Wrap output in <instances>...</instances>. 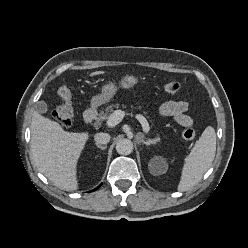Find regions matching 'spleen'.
Wrapping results in <instances>:
<instances>
[{
  "mask_svg": "<svg viewBox=\"0 0 248 248\" xmlns=\"http://www.w3.org/2000/svg\"><path fill=\"white\" fill-rule=\"evenodd\" d=\"M216 152V133L208 126L185 158L178 191L184 192L195 186L210 168Z\"/></svg>",
  "mask_w": 248,
  "mask_h": 248,
  "instance_id": "1",
  "label": "spleen"
}]
</instances>
